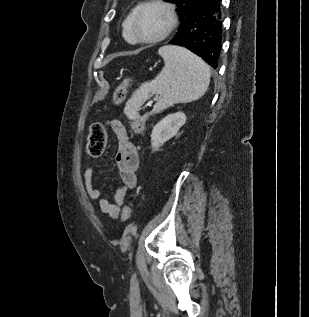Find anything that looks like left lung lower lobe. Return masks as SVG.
Here are the masks:
<instances>
[{"label":"left lung lower lobe","instance_id":"obj_1","mask_svg":"<svg viewBox=\"0 0 309 317\" xmlns=\"http://www.w3.org/2000/svg\"><path fill=\"white\" fill-rule=\"evenodd\" d=\"M223 43L221 0H207L195 9L169 44L183 46L218 67Z\"/></svg>","mask_w":309,"mask_h":317}]
</instances>
